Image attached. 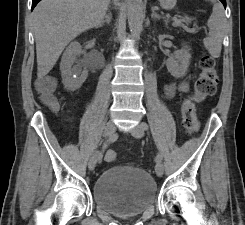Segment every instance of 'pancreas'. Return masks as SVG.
Wrapping results in <instances>:
<instances>
[{"label":"pancreas","mask_w":245,"mask_h":225,"mask_svg":"<svg viewBox=\"0 0 245 225\" xmlns=\"http://www.w3.org/2000/svg\"><path fill=\"white\" fill-rule=\"evenodd\" d=\"M183 22L186 23V24H188L190 22V19H188V18L182 19V21L180 23H176L174 26H181L184 29H186V26L183 24Z\"/></svg>","instance_id":"1"}]
</instances>
